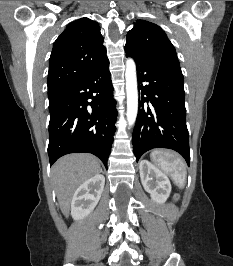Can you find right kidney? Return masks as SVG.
Returning a JSON list of instances; mask_svg holds the SVG:
<instances>
[{"instance_id":"1","label":"right kidney","mask_w":233,"mask_h":266,"mask_svg":"<svg viewBox=\"0 0 233 266\" xmlns=\"http://www.w3.org/2000/svg\"><path fill=\"white\" fill-rule=\"evenodd\" d=\"M104 184L105 177L97 174L76 189L71 201L73 219L82 220L94 210L100 200Z\"/></svg>"}]
</instances>
